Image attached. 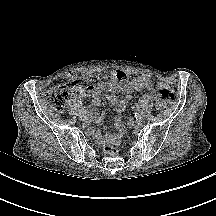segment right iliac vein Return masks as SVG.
I'll use <instances>...</instances> for the list:
<instances>
[{"mask_svg": "<svg viewBox=\"0 0 216 216\" xmlns=\"http://www.w3.org/2000/svg\"><path fill=\"white\" fill-rule=\"evenodd\" d=\"M79 118H80L81 121H85L87 119V116L85 114H81L79 116Z\"/></svg>", "mask_w": 216, "mask_h": 216, "instance_id": "right-iliac-vein-1", "label": "right iliac vein"}]
</instances>
